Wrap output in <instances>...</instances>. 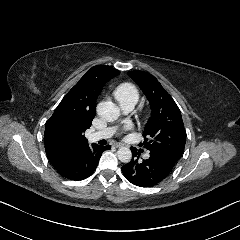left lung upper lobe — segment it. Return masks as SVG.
<instances>
[{
	"mask_svg": "<svg viewBox=\"0 0 240 240\" xmlns=\"http://www.w3.org/2000/svg\"><path fill=\"white\" fill-rule=\"evenodd\" d=\"M128 75L138 84L151 106L143 143L149 151H158L166 159L177 162L183 154L186 134L181 112L157 79L143 71H129Z\"/></svg>",
	"mask_w": 240,
	"mask_h": 240,
	"instance_id": "obj_1",
	"label": "left lung upper lobe"
}]
</instances>
